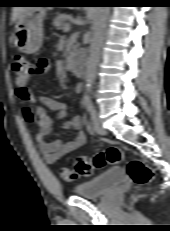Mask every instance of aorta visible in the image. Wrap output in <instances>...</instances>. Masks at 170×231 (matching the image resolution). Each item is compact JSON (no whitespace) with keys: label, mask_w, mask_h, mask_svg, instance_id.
Here are the masks:
<instances>
[{"label":"aorta","mask_w":170,"mask_h":231,"mask_svg":"<svg viewBox=\"0 0 170 231\" xmlns=\"http://www.w3.org/2000/svg\"><path fill=\"white\" fill-rule=\"evenodd\" d=\"M109 10V7H95L93 10V36L89 48V56L87 59L85 72L87 89L91 88L96 77V70L101 55L104 29Z\"/></svg>","instance_id":"762f6f07"}]
</instances>
